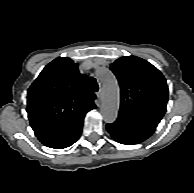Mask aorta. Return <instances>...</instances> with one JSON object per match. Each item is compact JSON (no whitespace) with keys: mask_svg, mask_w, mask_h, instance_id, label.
<instances>
[{"mask_svg":"<svg viewBox=\"0 0 194 193\" xmlns=\"http://www.w3.org/2000/svg\"><path fill=\"white\" fill-rule=\"evenodd\" d=\"M97 78L103 88L101 114L105 122L112 123L117 118L119 110L118 82L113 73L107 69L99 70Z\"/></svg>","mask_w":194,"mask_h":193,"instance_id":"obj_1","label":"aorta"}]
</instances>
